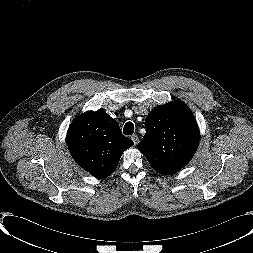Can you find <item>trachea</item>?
<instances>
[{
	"mask_svg": "<svg viewBox=\"0 0 253 253\" xmlns=\"http://www.w3.org/2000/svg\"><path fill=\"white\" fill-rule=\"evenodd\" d=\"M123 133L125 135H132L134 133V124L132 122H127L124 125Z\"/></svg>",
	"mask_w": 253,
	"mask_h": 253,
	"instance_id": "trachea-1",
	"label": "trachea"
}]
</instances>
